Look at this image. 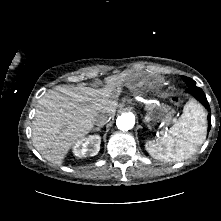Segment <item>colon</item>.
I'll return each instance as SVG.
<instances>
[{"instance_id": "colon-1", "label": "colon", "mask_w": 221, "mask_h": 221, "mask_svg": "<svg viewBox=\"0 0 221 221\" xmlns=\"http://www.w3.org/2000/svg\"><path fill=\"white\" fill-rule=\"evenodd\" d=\"M173 100H174V102H178V98L177 97H175Z\"/></svg>"}]
</instances>
